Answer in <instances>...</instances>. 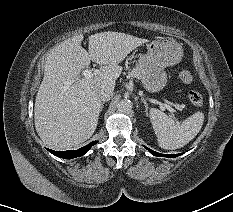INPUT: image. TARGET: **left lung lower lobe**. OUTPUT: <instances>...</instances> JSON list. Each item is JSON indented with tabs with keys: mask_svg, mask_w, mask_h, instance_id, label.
<instances>
[{
	"mask_svg": "<svg viewBox=\"0 0 233 212\" xmlns=\"http://www.w3.org/2000/svg\"><path fill=\"white\" fill-rule=\"evenodd\" d=\"M145 147V146H144ZM147 150H149V152H151L153 155H155V156H161V157H177V156H179V155H181V154H160V153H158V152H155V151H153V150H151V149H149V148H147V147H145Z\"/></svg>",
	"mask_w": 233,
	"mask_h": 212,
	"instance_id": "left-lung-lower-lobe-1",
	"label": "left lung lower lobe"
}]
</instances>
